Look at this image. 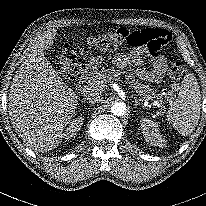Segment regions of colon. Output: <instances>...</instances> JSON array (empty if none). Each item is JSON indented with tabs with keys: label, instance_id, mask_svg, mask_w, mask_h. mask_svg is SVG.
Instances as JSON below:
<instances>
[{
	"label": "colon",
	"instance_id": "colon-1",
	"mask_svg": "<svg viewBox=\"0 0 206 206\" xmlns=\"http://www.w3.org/2000/svg\"><path fill=\"white\" fill-rule=\"evenodd\" d=\"M171 35L164 29H144L130 33L126 28H120L114 33L98 35L91 38V43L103 48H115L123 43L131 46H147L151 53H158L162 47L170 41ZM61 69L65 77L70 81H76V64L74 56L68 52H62ZM185 69L181 62L170 61L168 63V77L170 82L177 83L184 75Z\"/></svg>",
	"mask_w": 206,
	"mask_h": 206
}]
</instances>
